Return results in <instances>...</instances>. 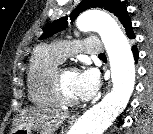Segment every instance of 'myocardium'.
Here are the masks:
<instances>
[{
	"mask_svg": "<svg viewBox=\"0 0 153 134\" xmlns=\"http://www.w3.org/2000/svg\"><path fill=\"white\" fill-rule=\"evenodd\" d=\"M65 68L66 67L57 68L55 70V72H54L53 83H54L55 93H56V96H57V98H58V100L60 101L61 104H64V105H76V104L79 103V101L75 100V99L69 98L65 94L63 86H62V81H61V78H60V73ZM70 69L76 71V68H74V67H71Z\"/></svg>",
	"mask_w": 153,
	"mask_h": 134,
	"instance_id": "obj_1",
	"label": "myocardium"
}]
</instances>
